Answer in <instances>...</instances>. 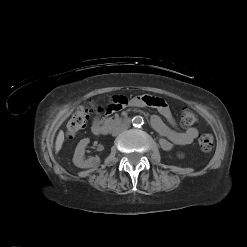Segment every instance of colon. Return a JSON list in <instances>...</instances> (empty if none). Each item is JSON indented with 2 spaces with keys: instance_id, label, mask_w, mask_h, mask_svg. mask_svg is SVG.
Instances as JSON below:
<instances>
[{
  "instance_id": "colon-1",
  "label": "colon",
  "mask_w": 247,
  "mask_h": 247,
  "mask_svg": "<svg viewBox=\"0 0 247 247\" xmlns=\"http://www.w3.org/2000/svg\"><path fill=\"white\" fill-rule=\"evenodd\" d=\"M96 105L90 104L79 107L67 123V137L74 138L82 129L85 128L87 121L93 113H96ZM198 122L197 115L189 108L181 111V124L191 127ZM213 137L211 134L204 133L199 136L198 145L204 152H209L213 148Z\"/></svg>"
}]
</instances>
